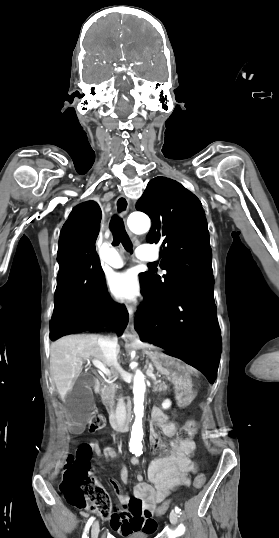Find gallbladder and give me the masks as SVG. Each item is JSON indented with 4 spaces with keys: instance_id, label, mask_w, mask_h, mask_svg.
<instances>
[{
    "instance_id": "bac80fb5",
    "label": "gallbladder",
    "mask_w": 279,
    "mask_h": 538,
    "mask_svg": "<svg viewBox=\"0 0 279 538\" xmlns=\"http://www.w3.org/2000/svg\"><path fill=\"white\" fill-rule=\"evenodd\" d=\"M94 386V378L88 372H81L77 378L68 397L61 404L60 409L64 413H68V420L75 422L71 429L78 433L81 431L83 423H91L93 416L89 408L93 407L94 396L90 390Z\"/></svg>"
}]
</instances>
